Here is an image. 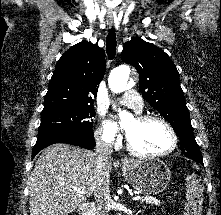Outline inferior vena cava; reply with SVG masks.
<instances>
[{
	"instance_id": "obj_1",
	"label": "inferior vena cava",
	"mask_w": 221,
	"mask_h": 215,
	"mask_svg": "<svg viewBox=\"0 0 221 215\" xmlns=\"http://www.w3.org/2000/svg\"><path fill=\"white\" fill-rule=\"evenodd\" d=\"M96 156H97V168L99 175L94 185V196L98 209L102 208V204L110 195L109 191V178L106 176L103 167L105 161L110 157L113 152V146L110 142H105L101 139L96 141ZM105 215V214H98Z\"/></svg>"
}]
</instances>
